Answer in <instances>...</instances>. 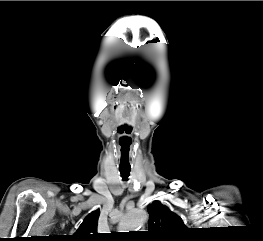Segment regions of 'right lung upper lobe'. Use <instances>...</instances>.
<instances>
[{
  "instance_id": "1",
  "label": "right lung upper lobe",
  "mask_w": 263,
  "mask_h": 241,
  "mask_svg": "<svg viewBox=\"0 0 263 241\" xmlns=\"http://www.w3.org/2000/svg\"><path fill=\"white\" fill-rule=\"evenodd\" d=\"M99 215V209L88 214L78 230L72 235V241H100L102 236L97 233Z\"/></svg>"
}]
</instances>
